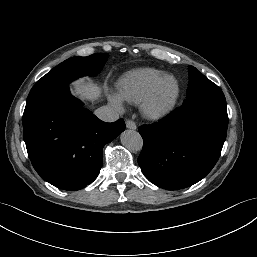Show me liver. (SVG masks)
I'll use <instances>...</instances> for the list:
<instances>
[{"mask_svg":"<svg viewBox=\"0 0 257 257\" xmlns=\"http://www.w3.org/2000/svg\"><path fill=\"white\" fill-rule=\"evenodd\" d=\"M99 93V87L92 82L77 83L74 86V94L81 99H96V94Z\"/></svg>","mask_w":257,"mask_h":257,"instance_id":"obj_1","label":"liver"}]
</instances>
